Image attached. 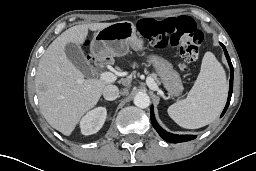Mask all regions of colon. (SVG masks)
I'll return each instance as SVG.
<instances>
[{"instance_id": "colon-1", "label": "colon", "mask_w": 256, "mask_h": 171, "mask_svg": "<svg viewBox=\"0 0 256 171\" xmlns=\"http://www.w3.org/2000/svg\"><path fill=\"white\" fill-rule=\"evenodd\" d=\"M138 31L157 48L178 46L182 62L181 69L198 57L204 34L194 20L187 16L169 17L162 20L144 18L138 22Z\"/></svg>"}]
</instances>
